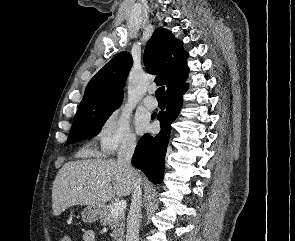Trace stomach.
<instances>
[{
  "label": "stomach",
  "instance_id": "stomach-1",
  "mask_svg": "<svg viewBox=\"0 0 295 241\" xmlns=\"http://www.w3.org/2000/svg\"><path fill=\"white\" fill-rule=\"evenodd\" d=\"M105 206L102 204H92L88 205L86 208L83 209L81 215L82 220L85 223H92L101 218L104 212Z\"/></svg>",
  "mask_w": 295,
  "mask_h": 241
}]
</instances>
